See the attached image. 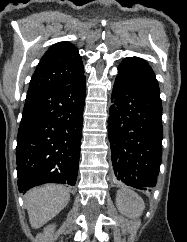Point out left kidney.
Listing matches in <instances>:
<instances>
[{
  "instance_id": "1",
  "label": "left kidney",
  "mask_w": 187,
  "mask_h": 242,
  "mask_svg": "<svg viewBox=\"0 0 187 242\" xmlns=\"http://www.w3.org/2000/svg\"><path fill=\"white\" fill-rule=\"evenodd\" d=\"M116 205L122 214L129 217L140 216L145 208L142 198L127 189L117 191Z\"/></svg>"
}]
</instances>
